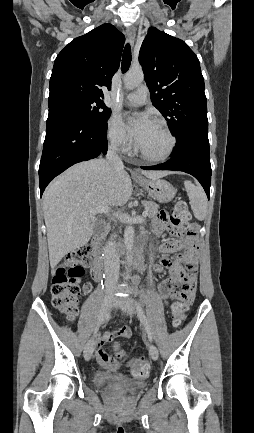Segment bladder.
<instances>
[{"instance_id":"31cf9c89","label":"bladder","mask_w":254,"mask_h":433,"mask_svg":"<svg viewBox=\"0 0 254 433\" xmlns=\"http://www.w3.org/2000/svg\"><path fill=\"white\" fill-rule=\"evenodd\" d=\"M94 382L95 384L100 387V388H107L109 386L110 383V379L107 375L105 374H97L94 377ZM144 386L143 382H133L130 385V389L132 392H137L139 391L142 387Z\"/></svg>"}]
</instances>
